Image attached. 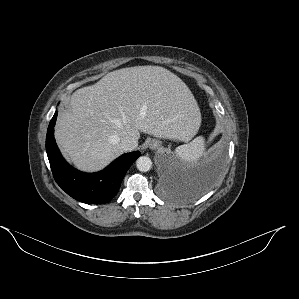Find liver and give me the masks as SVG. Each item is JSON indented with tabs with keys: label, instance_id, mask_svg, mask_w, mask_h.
<instances>
[{
	"label": "liver",
	"instance_id": "obj_1",
	"mask_svg": "<svg viewBox=\"0 0 299 299\" xmlns=\"http://www.w3.org/2000/svg\"><path fill=\"white\" fill-rule=\"evenodd\" d=\"M201 123L188 86L160 66H135L106 74L76 90L59 112L55 139L80 170L103 169L124 151L120 141L140 132L188 142Z\"/></svg>",
	"mask_w": 299,
	"mask_h": 299
}]
</instances>
